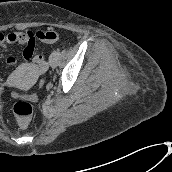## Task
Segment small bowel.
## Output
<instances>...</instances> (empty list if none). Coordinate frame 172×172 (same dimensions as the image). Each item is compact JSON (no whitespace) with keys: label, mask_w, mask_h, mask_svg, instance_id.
Wrapping results in <instances>:
<instances>
[{"label":"small bowel","mask_w":172,"mask_h":172,"mask_svg":"<svg viewBox=\"0 0 172 172\" xmlns=\"http://www.w3.org/2000/svg\"><path fill=\"white\" fill-rule=\"evenodd\" d=\"M46 31H13V32H0V48L5 49L11 44H21L24 45V49L22 51L23 59L29 63L34 55L35 47L37 41L45 42L44 35ZM48 43V42H45ZM17 59L14 56H8L6 58V63L10 66L15 65ZM3 81V78L0 77V82Z\"/></svg>","instance_id":"1"}]
</instances>
